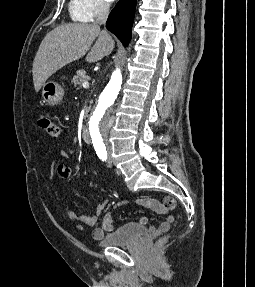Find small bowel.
<instances>
[{
  "instance_id": "small-bowel-1",
  "label": "small bowel",
  "mask_w": 255,
  "mask_h": 287,
  "mask_svg": "<svg viewBox=\"0 0 255 287\" xmlns=\"http://www.w3.org/2000/svg\"><path fill=\"white\" fill-rule=\"evenodd\" d=\"M60 156L67 158L68 153L64 150L60 151ZM58 174L62 178H68L70 176V170L62 165L58 167ZM128 199H121L111 205L107 203H101L97 206L93 215H84L73 211H68L67 216L73 223L76 229L83 231L85 227L92 228V236L94 239H100L105 232H110L114 229L112 209H115L123 204H127ZM136 204L147 207L158 214L165 215V219L159 225H150L149 231L154 235L169 231L171 225L175 221V217L172 214V210L175 208L176 202L172 197H165L163 201H159L153 198H138L135 199ZM102 218V227H96L98 220ZM148 223V217L141 216L139 218V224L144 226Z\"/></svg>"
}]
</instances>
